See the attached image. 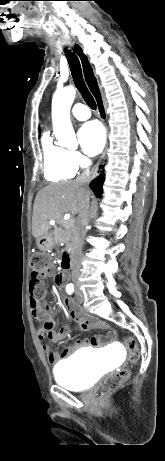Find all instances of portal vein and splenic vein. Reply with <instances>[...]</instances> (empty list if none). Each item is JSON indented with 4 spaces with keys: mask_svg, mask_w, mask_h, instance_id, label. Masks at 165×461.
Wrapping results in <instances>:
<instances>
[{
    "mask_svg": "<svg viewBox=\"0 0 165 461\" xmlns=\"http://www.w3.org/2000/svg\"><path fill=\"white\" fill-rule=\"evenodd\" d=\"M69 224H70V225H72V224H73V221H70V223H69Z\"/></svg>",
    "mask_w": 165,
    "mask_h": 461,
    "instance_id": "1",
    "label": "portal vein and splenic vein"
}]
</instances>
